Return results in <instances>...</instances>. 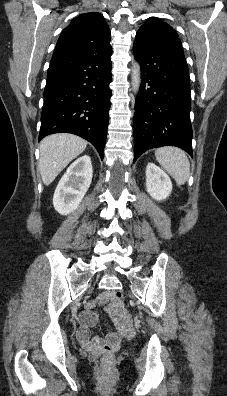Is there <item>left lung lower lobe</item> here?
<instances>
[{
  "label": "left lung lower lobe",
  "instance_id": "0a47b994",
  "mask_svg": "<svg viewBox=\"0 0 227 396\" xmlns=\"http://www.w3.org/2000/svg\"><path fill=\"white\" fill-rule=\"evenodd\" d=\"M142 83L135 103L134 161L151 148L177 146L192 156L190 78L182 51L135 39Z\"/></svg>",
  "mask_w": 227,
  "mask_h": 396
}]
</instances>
